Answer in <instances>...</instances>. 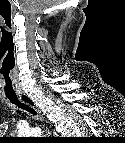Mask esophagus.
Segmentation results:
<instances>
[{
  "label": "esophagus",
  "mask_w": 125,
  "mask_h": 143,
  "mask_svg": "<svg viewBox=\"0 0 125 143\" xmlns=\"http://www.w3.org/2000/svg\"><path fill=\"white\" fill-rule=\"evenodd\" d=\"M18 98L19 100L24 103V104H27L29 105L30 107H32L34 110H36V112L39 114V115H42L41 114V110L37 107V105L35 104V102L25 93H20L18 94Z\"/></svg>",
  "instance_id": "esophagus-1"
}]
</instances>
